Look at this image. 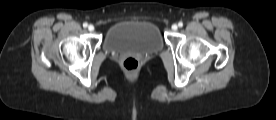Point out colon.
I'll list each match as a JSON object with an SVG mask.
<instances>
[{
	"label": "colon",
	"instance_id": "5ec220e1",
	"mask_svg": "<svg viewBox=\"0 0 276 120\" xmlns=\"http://www.w3.org/2000/svg\"><path fill=\"white\" fill-rule=\"evenodd\" d=\"M122 66L126 72L134 74L138 70L139 62L135 57H127L123 60Z\"/></svg>",
	"mask_w": 276,
	"mask_h": 120
}]
</instances>
